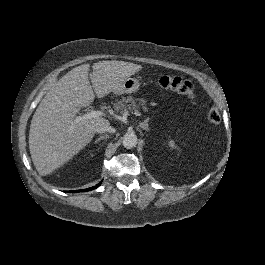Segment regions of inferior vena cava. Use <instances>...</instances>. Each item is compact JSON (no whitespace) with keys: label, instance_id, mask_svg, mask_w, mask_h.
Listing matches in <instances>:
<instances>
[{"label":"inferior vena cava","instance_id":"obj_1","mask_svg":"<svg viewBox=\"0 0 265 265\" xmlns=\"http://www.w3.org/2000/svg\"><path fill=\"white\" fill-rule=\"evenodd\" d=\"M95 131L98 132V133H105V132L115 133L116 129L111 127L109 125V123H103V124H100L99 126H97Z\"/></svg>","mask_w":265,"mask_h":265}]
</instances>
